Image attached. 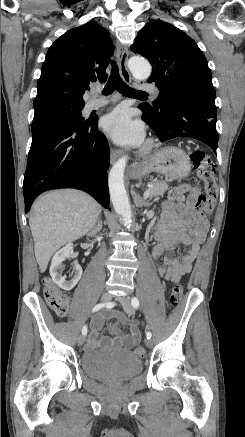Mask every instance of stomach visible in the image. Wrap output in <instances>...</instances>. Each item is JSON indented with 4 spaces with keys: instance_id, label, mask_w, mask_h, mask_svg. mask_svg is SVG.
<instances>
[{
    "instance_id": "stomach-1",
    "label": "stomach",
    "mask_w": 245,
    "mask_h": 437,
    "mask_svg": "<svg viewBox=\"0 0 245 437\" xmlns=\"http://www.w3.org/2000/svg\"><path fill=\"white\" fill-rule=\"evenodd\" d=\"M152 171L165 175L169 181L181 179L189 175L191 163L183 150L168 146L157 150L148 159L135 164L130 172V177L139 179Z\"/></svg>"
}]
</instances>
